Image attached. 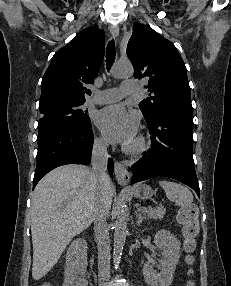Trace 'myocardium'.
<instances>
[{"instance_id": "myocardium-1", "label": "myocardium", "mask_w": 231, "mask_h": 286, "mask_svg": "<svg viewBox=\"0 0 231 286\" xmlns=\"http://www.w3.org/2000/svg\"><path fill=\"white\" fill-rule=\"evenodd\" d=\"M124 149L132 156H140L148 149V144L144 137L139 136L132 144L126 146Z\"/></svg>"}]
</instances>
